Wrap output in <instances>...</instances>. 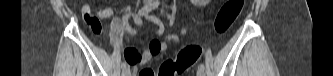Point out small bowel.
Returning a JSON list of instances; mask_svg holds the SVG:
<instances>
[{"instance_id": "1", "label": "small bowel", "mask_w": 333, "mask_h": 76, "mask_svg": "<svg viewBox=\"0 0 333 76\" xmlns=\"http://www.w3.org/2000/svg\"><path fill=\"white\" fill-rule=\"evenodd\" d=\"M81 12L84 21L89 25L92 32L95 34L101 33L102 26L100 20L111 18L109 23V30L111 44L114 47H117L120 44L122 31H125L130 35L137 34V31L129 24L131 19H134L135 23L138 25L142 24L141 18L135 16V14L131 11H127L121 19L118 17H113L114 10L111 6H106L96 14H93L90 5L85 3L81 7ZM146 18L157 25L156 34L161 35L164 30L162 22L151 15H146ZM181 34H186L185 28L182 29ZM170 42L178 43L180 42V37L176 34H169L163 40H159L157 38L151 39L147 49L140 58H138L141 52L140 47H136L135 44H127L125 51L126 59L131 65H133L134 69H137L139 66H144L149 63L161 52L166 51L169 48Z\"/></svg>"}]
</instances>
